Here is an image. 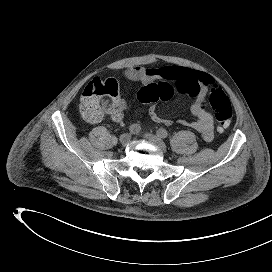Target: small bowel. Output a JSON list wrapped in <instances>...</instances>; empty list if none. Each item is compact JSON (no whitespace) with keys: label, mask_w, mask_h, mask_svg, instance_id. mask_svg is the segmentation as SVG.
<instances>
[{"label":"small bowel","mask_w":272,"mask_h":272,"mask_svg":"<svg viewBox=\"0 0 272 272\" xmlns=\"http://www.w3.org/2000/svg\"><path fill=\"white\" fill-rule=\"evenodd\" d=\"M124 75L130 81L139 82L144 85L157 80L172 83L177 91L193 99L190 105V111L195 117V120L188 122L184 119H178L176 121L162 119L158 116L154 104L151 105L148 110L150 118L154 122L162 123L166 126H171L174 123L189 126L199 132L204 141L211 142L213 140V118L206 108L207 91L213 85V78L211 75L180 66H165L160 68H143L135 66L126 69ZM127 109V102L122 98H118L109 114L115 122L121 123L122 115Z\"/></svg>","instance_id":"c3829d8e"}]
</instances>
